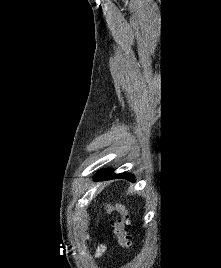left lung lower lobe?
<instances>
[{
	"mask_svg": "<svg viewBox=\"0 0 221 268\" xmlns=\"http://www.w3.org/2000/svg\"><path fill=\"white\" fill-rule=\"evenodd\" d=\"M114 178H124L128 179L129 181H134V177L132 174H113L112 170H102L98 172V174L95 176V180H104V179H114Z\"/></svg>",
	"mask_w": 221,
	"mask_h": 268,
	"instance_id": "left-lung-lower-lobe-1",
	"label": "left lung lower lobe"
}]
</instances>
